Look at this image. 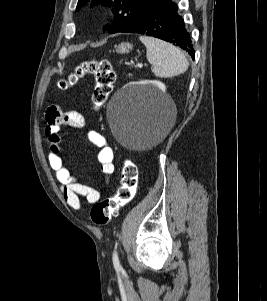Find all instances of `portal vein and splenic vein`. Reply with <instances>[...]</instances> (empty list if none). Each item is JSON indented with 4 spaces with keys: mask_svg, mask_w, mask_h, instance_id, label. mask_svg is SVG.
Instances as JSON below:
<instances>
[{
    "mask_svg": "<svg viewBox=\"0 0 267 301\" xmlns=\"http://www.w3.org/2000/svg\"><path fill=\"white\" fill-rule=\"evenodd\" d=\"M136 66L139 67V68L143 67V65L141 63H138Z\"/></svg>",
    "mask_w": 267,
    "mask_h": 301,
    "instance_id": "obj_1",
    "label": "portal vein and splenic vein"
}]
</instances>
